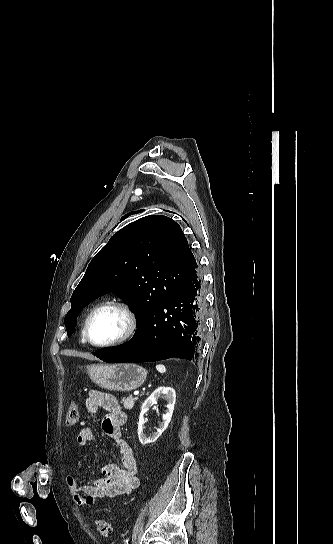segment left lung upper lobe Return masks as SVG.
<instances>
[{
  "label": "left lung upper lobe",
  "mask_w": 333,
  "mask_h": 544,
  "mask_svg": "<svg viewBox=\"0 0 333 544\" xmlns=\"http://www.w3.org/2000/svg\"><path fill=\"white\" fill-rule=\"evenodd\" d=\"M198 266L180 226L152 215L115 233L90 262L71 297L67 334L75 330L83 306L114 292L136 310L139 324L150 318Z\"/></svg>",
  "instance_id": "1"
}]
</instances>
